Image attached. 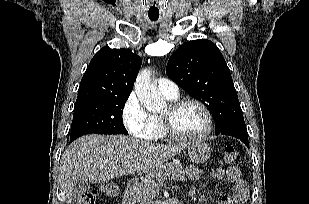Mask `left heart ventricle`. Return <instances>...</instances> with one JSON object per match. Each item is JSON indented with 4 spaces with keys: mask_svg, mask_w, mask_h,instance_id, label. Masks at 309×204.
Listing matches in <instances>:
<instances>
[{
    "mask_svg": "<svg viewBox=\"0 0 309 204\" xmlns=\"http://www.w3.org/2000/svg\"><path fill=\"white\" fill-rule=\"evenodd\" d=\"M168 108L163 112L165 114ZM175 129L185 135H197L206 128L204 112L195 104L188 103L179 108L172 117Z\"/></svg>",
    "mask_w": 309,
    "mask_h": 204,
    "instance_id": "1",
    "label": "left heart ventricle"
}]
</instances>
